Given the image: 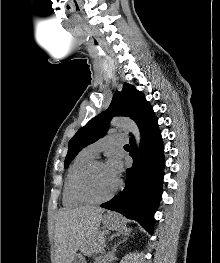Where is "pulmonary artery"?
<instances>
[{
    "label": "pulmonary artery",
    "mask_w": 220,
    "mask_h": 263,
    "mask_svg": "<svg viewBox=\"0 0 220 263\" xmlns=\"http://www.w3.org/2000/svg\"><path fill=\"white\" fill-rule=\"evenodd\" d=\"M128 141V137L122 133H112L98 141L90 144L85 148V150L92 156H96L103 149L111 145H122Z\"/></svg>",
    "instance_id": "obj_1"
}]
</instances>
